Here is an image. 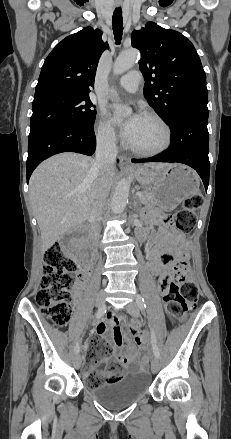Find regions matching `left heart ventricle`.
Wrapping results in <instances>:
<instances>
[{"instance_id": "1", "label": "left heart ventricle", "mask_w": 231, "mask_h": 439, "mask_svg": "<svg viewBox=\"0 0 231 439\" xmlns=\"http://www.w3.org/2000/svg\"><path fill=\"white\" fill-rule=\"evenodd\" d=\"M164 141V131L154 120L143 116L141 124L130 143L139 149H153L160 146Z\"/></svg>"}]
</instances>
